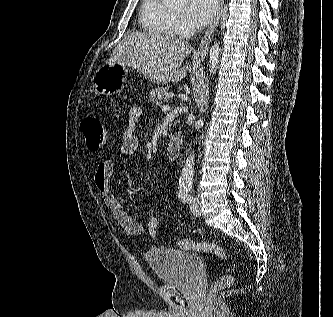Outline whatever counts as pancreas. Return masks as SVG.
I'll return each instance as SVG.
<instances>
[{
	"label": "pancreas",
	"mask_w": 333,
	"mask_h": 317,
	"mask_svg": "<svg viewBox=\"0 0 333 317\" xmlns=\"http://www.w3.org/2000/svg\"><path fill=\"white\" fill-rule=\"evenodd\" d=\"M168 87L154 88L151 90L148 101L158 105L162 101H166L168 95Z\"/></svg>",
	"instance_id": "1"
}]
</instances>
